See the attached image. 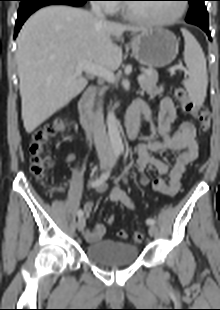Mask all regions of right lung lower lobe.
Here are the masks:
<instances>
[{
    "label": "right lung lower lobe",
    "mask_w": 220,
    "mask_h": 310,
    "mask_svg": "<svg viewBox=\"0 0 220 310\" xmlns=\"http://www.w3.org/2000/svg\"><path fill=\"white\" fill-rule=\"evenodd\" d=\"M20 6L18 10V18L15 25V35L17 36L21 26L26 19L41 7L53 5V4H64L71 6H82L86 1L89 0H20Z\"/></svg>",
    "instance_id": "obj_1"
}]
</instances>
